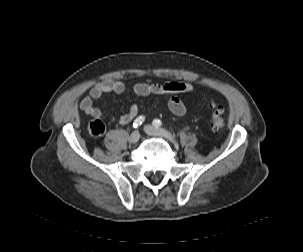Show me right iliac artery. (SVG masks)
I'll return each mask as SVG.
<instances>
[{
  "mask_svg": "<svg viewBox=\"0 0 303 252\" xmlns=\"http://www.w3.org/2000/svg\"><path fill=\"white\" fill-rule=\"evenodd\" d=\"M143 121H144V117H143V116L138 117V118L133 122V127H134V128L139 127V126L142 124Z\"/></svg>",
  "mask_w": 303,
  "mask_h": 252,
  "instance_id": "obj_1",
  "label": "right iliac artery"
}]
</instances>
